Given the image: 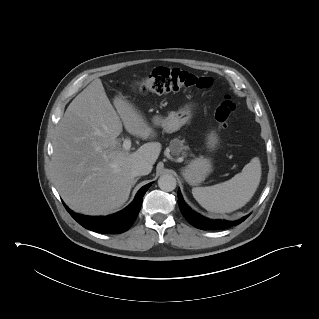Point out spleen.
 I'll return each mask as SVG.
<instances>
[{
    "label": "spleen",
    "instance_id": "3e777b00",
    "mask_svg": "<svg viewBox=\"0 0 319 319\" xmlns=\"http://www.w3.org/2000/svg\"><path fill=\"white\" fill-rule=\"evenodd\" d=\"M261 179V164L254 157L242 172L223 183L208 187H194L193 197L206 210L229 213L243 207L251 200Z\"/></svg>",
    "mask_w": 319,
    "mask_h": 319
}]
</instances>
